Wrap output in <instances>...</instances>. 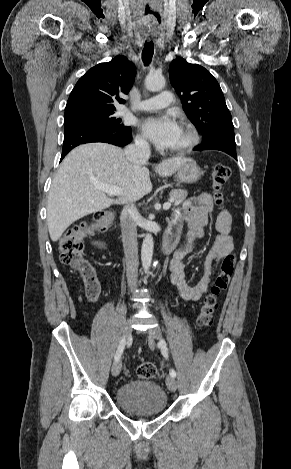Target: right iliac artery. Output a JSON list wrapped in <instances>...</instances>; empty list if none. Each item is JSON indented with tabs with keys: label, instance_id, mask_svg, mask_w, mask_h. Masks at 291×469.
<instances>
[{
	"label": "right iliac artery",
	"instance_id": "obj_1",
	"mask_svg": "<svg viewBox=\"0 0 291 469\" xmlns=\"http://www.w3.org/2000/svg\"><path fill=\"white\" fill-rule=\"evenodd\" d=\"M125 344H126V341H125L124 338H122V339L120 340L119 346H118V348H117V351H116V354H115V357H114L115 361H117V360L120 359V357H121V355H122V353H123Z\"/></svg>",
	"mask_w": 291,
	"mask_h": 469
}]
</instances>
